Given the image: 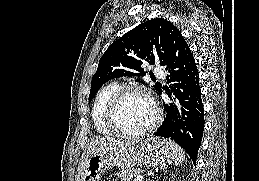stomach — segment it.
Wrapping results in <instances>:
<instances>
[{
    "instance_id": "0dacf381",
    "label": "stomach",
    "mask_w": 259,
    "mask_h": 181,
    "mask_svg": "<svg viewBox=\"0 0 259 181\" xmlns=\"http://www.w3.org/2000/svg\"><path fill=\"white\" fill-rule=\"evenodd\" d=\"M173 160L165 139L150 137L123 150H89L81 158L76 181H99L106 169L144 165L164 169Z\"/></svg>"
}]
</instances>
